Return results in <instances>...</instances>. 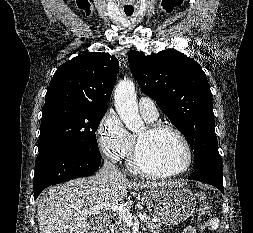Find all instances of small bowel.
Wrapping results in <instances>:
<instances>
[{"label":"small bowel","mask_w":253,"mask_h":233,"mask_svg":"<svg viewBox=\"0 0 253 233\" xmlns=\"http://www.w3.org/2000/svg\"><path fill=\"white\" fill-rule=\"evenodd\" d=\"M182 233H197L194 227L188 226L186 227Z\"/></svg>","instance_id":"c3829d8e"}]
</instances>
